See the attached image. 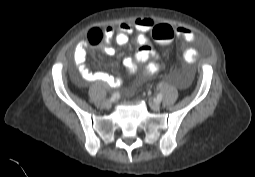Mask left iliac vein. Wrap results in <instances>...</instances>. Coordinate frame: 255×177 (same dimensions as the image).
I'll return each instance as SVG.
<instances>
[{
    "label": "left iliac vein",
    "mask_w": 255,
    "mask_h": 177,
    "mask_svg": "<svg viewBox=\"0 0 255 177\" xmlns=\"http://www.w3.org/2000/svg\"><path fill=\"white\" fill-rule=\"evenodd\" d=\"M149 105H150V107H151V109H152L153 111H158V110L160 109V107H161V105L159 104V102H156V101H151V102L149 103Z\"/></svg>",
    "instance_id": "obj_1"
}]
</instances>
